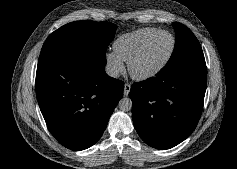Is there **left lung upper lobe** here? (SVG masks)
I'll return each instance as SVG.
<instances>
[{
    "mask_svg": "<svg viewBox=\"0 0 237 169\" xmlns=\"http://www.w3.org/2000/svg\"><path fill=\"white\" fill-rule=\"evenodd\" d=\"M173 27L176 34L174 51L162 70L173 71L190 62L205 61L200 43L192 31L181 23H173Z\"/></svg>",
    "mask_w": 237,
    "mask_h": 169,
    "instance_id": "1",
    "label": "left lung upper lobe"
}]
</instances>
